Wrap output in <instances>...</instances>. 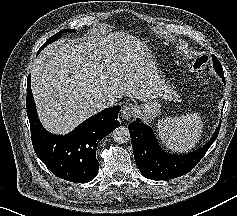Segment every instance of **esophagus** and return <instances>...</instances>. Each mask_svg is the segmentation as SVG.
Instances as JSON below:
<instances>
[{
	"instance_id": "obj_1",
	"label": "esophagus",
	"mask_w": 237,
	"mask_h": 216,
	"mask_svg": "<svg viewBox=\"0 0 237 216\" xmlns=\"http://www.w3.org/2000/svg\"><path fill=\"white\" fill-rule=\"evenodd\" d=\"M136 112V108L133 104H125L120 112V117L123 120H130Z\"/></svg>"
}]
</instances>
